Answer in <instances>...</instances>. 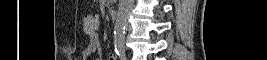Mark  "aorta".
<instances>
[{"label":"aorta","instance_id":"obj_1","mask_svg":"<svg viewBox=\"0 0 267 60\" xmlns=\"http://www.w3.org/2000/svg\"><path fill=\"white\" fill-rule=\"evenodd\" d=\"M134 0H120L114 26V44L118 53L124 52L125 28Z\"/></svg>","mask_w":267,"mask_h":60}]
</instances>
